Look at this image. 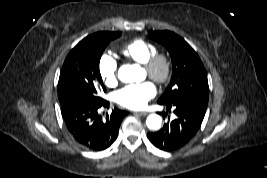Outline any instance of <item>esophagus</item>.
I'll return each mask as SVG.
<instances>
[{"label": "esophagus", "mask_w": 267, "mask_h": 178, "mask_svg": "<svg viewBox=\"0 0 267 178\" xmlns=\"http://www.w3.org/2000/svg\"><path fill=\"white\" fill-rule=\"evenodd\" d=\"M136 113L139 114V115H142V116L148 115L147 111H140V112H136Z\"/></svg>", "instance_id": "obj_1"}]
</instances>
